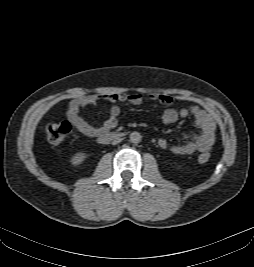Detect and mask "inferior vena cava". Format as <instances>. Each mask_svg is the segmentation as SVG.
I'll return each instance as SVG.
<instances>
[{
  "label": "inferior vena cava",
  "mask_w": 254,
  "mask_h": 267,
  "mask_svg": "<svg viewBox=\"0 0 254 267\" xmlns=\"http://www.w3.org/2000/svg\"><path fill=\"white\" fill-rule=\"evenodd\" d=\"M120 141H121V139L117 138V139L113 140L112 144L113 145L118 144Z\"/></svg>",
  "instance_id": "inferior-vena-cava-1"
}]
</instances>
